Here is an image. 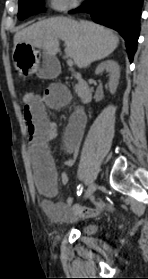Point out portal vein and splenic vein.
Wrapping results in <instances>:
<instances>
[{
    "label": "portal vein and splenic vein",
    "instance_id": "18ae733b",
    "mask_svg": "<svg viewBox=\"0 0 148 279\" xmlns=\"http://www.w3.org/2000/svg\"><path fill=\"white\" fill-rule=\"evenodd\" d=\"M67 64H68V66H73V60L69 58L67 60Z\"/></svg>",
    "mask_w": 148,
    "mask_h": 279
}]
</instances>
